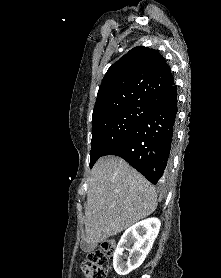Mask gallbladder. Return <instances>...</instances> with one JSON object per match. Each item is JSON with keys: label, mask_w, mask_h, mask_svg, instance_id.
<instances>
[{"label": "gallbladder", "mask_w": 221, "mask_h": 278, "mask_svg": "<svg viewBox=\"0 0 221 278\" xmlns=\"http://www.w3.org/2000/svg\"><path fill=\"white\" fill-rule=\"evenodd\" d=\"M82 249L84 251H89L90 250V244H88L87 242H83Z\"/></svg>", "instance_id": "obj_1"}]
</instances>
